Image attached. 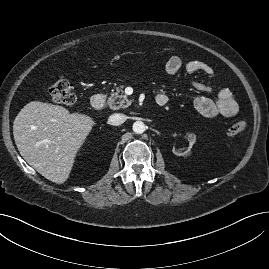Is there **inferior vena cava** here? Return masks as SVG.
<instances>
[{"instance_id":"1","label":"inferior vena cava","mask_w":269,"mask_h":269,"mask_svg":"<svg viewBox=\"0 0 269 269\" xmlns=\"http://www.w3.org/2000/svg\"><path fill=\"white\" fill-rule=\"evenodd\" d=\"M126 120V116L123 115V114H118V113H115V114H112L111 116H109V119H108V123L110 125H113V126H118V125H121L122 123H124Z\"/></svg>"}]
</instances>
